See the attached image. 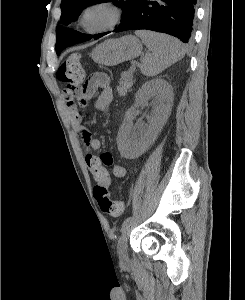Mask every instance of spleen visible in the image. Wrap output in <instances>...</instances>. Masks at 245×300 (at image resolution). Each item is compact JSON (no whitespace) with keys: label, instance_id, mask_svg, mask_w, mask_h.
<instances>
[{"label":"spleen","instance_id":"1","mask_svg":"<svg viewBox=\"0 0 245 300\" xmlns=\"http://www.w3.org/2000/svg\"><path fill=\"white\" fill-rule=\"evenodd\" d=\"M135 34L151 51V54L143 58L141 64V72L146 76L161 73L185 55L184 46L174 37L152 31H136Z\"/></svg>","mask_w":245,"mask_h":300}]
</instances>
